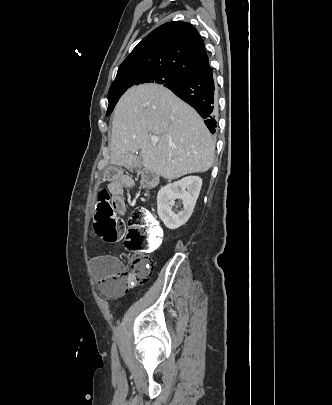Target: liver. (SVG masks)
Here are the masks:
<instances>
[{
  "instance_id": "1",
  "label": "liver",
  "mask_w": 332,
  "mask_h": 405,
  "mask_svg": "<svg viewBox=\"0 0 332 405\" xmlns=\"http://www.w3.org/2000/svg\"><path fill=\"white\" fill-rule=\"evenodd\" d=\"M151 136L159 137L157 144ZM143 166L168 180L202 173L214 162L215 143L200 115L169 89L146 84L126 91L114 109L112 163Z\"/></svg>"
}]
</instances>
